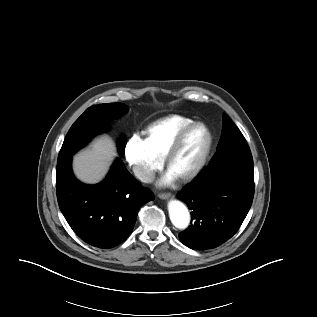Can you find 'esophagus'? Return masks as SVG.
<instances>
[{
	"instance_id": "34e87169",
	"label": "esophagus",
	"mask_w": 317,
	"mask_h": 317,
	"mask_svg": "<svg viewBox=\"0 0 317 317\" xmlns=\"http://www.w3.org/2000/svg\"><path fill=\"white\" fill-rule=\"evenodd\" d=\"M158 196L160 199L166 200L171 197V193H160Z\"/></svg>"
}]
</instances>
